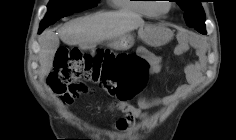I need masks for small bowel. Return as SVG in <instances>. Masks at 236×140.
I'll use <instances>...</instances> for the list:
<instances>
[{"label": "small bowel", "instance_id": "1", "mask_svg": "<svg viewBox=\"0 0 236 140\" xmlns=\"http://www.w3.org/2000/svg\"><path fill=\"white\" fill-rule=\"evenodd\" d=\"M187 49V43L184 38L180 39L179 45L176 47V53L182 54ZM149 65L151 73H159L164 66V59L161 56L154 55L145 50L140 53ZM200 70L198 63L187 64L184 68L185 82L180 84L172 93L161 97H146L142 96L138 99L137 105H131L127 102H116L109 106L108 110L111 112H118L122 114L115 123V128L119 131H127L137 120L145 123L150 121V115L145 111L147 108L155 105L170 106L177 99L183 96L192 86H195L200 81ZM72 99H66L65 103L70 104Z\"/></svg>", "mask_w": 236, "mask_h": 140}]
</instances>
